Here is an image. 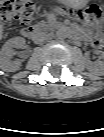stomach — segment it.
Here are the masks:
<instances>
[{"instance_id": "0dacf381", "label": "stomach", "mask_w": 104, "mask_h": 137, "mask_svg": "<svg viewBox=\"0 0 104 137\" xmlns=\"http://www.w3.org/2000/svg\"><path fill=\"white\" fill-rule=\"evenodd\" d=\"M62 2L68 5H72V6H77L80 3L79 0H62Z\"/></svg>"}]
</instances>
